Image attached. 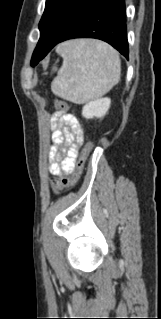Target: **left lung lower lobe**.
<instances>
[{"mask_svg":"<svg viewBox=\"0 0 161 319\" xmlns=\"http://www.w3.org/2000/svg\"><path fill=\"white\" fill-rule=\"evenodd\" d=\"M74 38L103 40L128 59L125 1L99 0L55 45Z\"/></svg>","mask_w":161,"mask_h":319,"instance_id":"1","label":"left lung lower lobe"}]
</instances>
